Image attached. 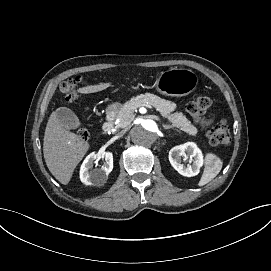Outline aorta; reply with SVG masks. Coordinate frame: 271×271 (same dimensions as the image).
<instances>
[{
    "label": "aorta",
    "mask_w": 271,
    "mask_h": 271,
    "mask_svg": "<svg viewBox=\"0 0 271 271\" xmlns=\"http://www.w3.org/2000/svg\"><path fill=\"white\" fill-rule=\"evenodd\" d=\"M159 126L152 119H141L131 129V140L135 145L149 147L158 138Z\"/></svg>",
    "instance_id": "obj_1"
}]
</instances>
